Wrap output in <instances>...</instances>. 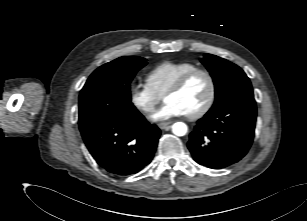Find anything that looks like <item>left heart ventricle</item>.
Segmentation results:
<instances>
[{
    "label": "left heart ventricle",
    "instance_id": "b2bd125f",
    "mask_svg": "<svg viewBox=\"0 0 307 221\" xmlns=\"http://www.w3.org/2000/svg\"><path fill=\"white\" fill-rule=\"evenodd\" d=\"M209 91L208 79L204 75L198 74L180 92L168 95L165 100L177 103L184 109L186 114H191L198 111L205 104Z\"/></svg>",
    "mask_w": 307,
    "mask_h": 221
}]
</instances>
